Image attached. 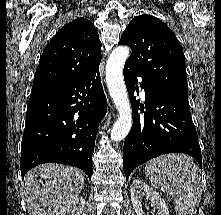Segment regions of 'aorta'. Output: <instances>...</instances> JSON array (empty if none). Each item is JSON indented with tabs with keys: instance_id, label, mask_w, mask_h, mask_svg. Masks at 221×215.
Instances as JSON below:
<instances>
[{
	"instance_id": "1",
	"label": "aorta",
	"mask_w": 221,
	"mask_h": 215,
	"mask_svg": "<svg viewBox=\"0 0 221 215\" xmlns=\"http://www.w3.org/2000/svg\"><path fill=\"white\" fill-rule=\"evenodd\" d=\"M129 55V47H116L110 54L106 64V83L119 113V117L111 129L112 141L124 139L132 126L131 105L123 78V67Z\"/></svg>"
}]
</instances>
